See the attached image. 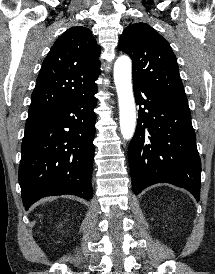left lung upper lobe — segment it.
Instances as JSON below:
<instances>
[{
  "label": "left lung upper lobe",
  "mask_w": 215,
  "mask_h": 274,
  "mask_svg": "<svg viewBox=\"0 0 215 274\" xmlns=\"http://www.w3.org/2000/svg\"><path fill=\"white\" fill-rule=\"evenodd\" d=\"M119 50L133 61V82L188 103L175 54L167 40L150 25L135 23L126 27L119 40Z\"/></svg>",
  "instance_id": "obj_1"
}]
</instances>
